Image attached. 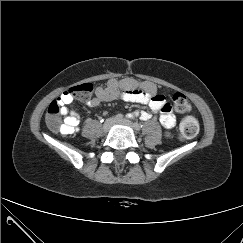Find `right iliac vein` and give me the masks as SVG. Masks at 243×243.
I'll return each mask as SVG.
<instances>
[{"label": "right iliac vein", "mask_w": 243, "mask_h": 243, "mask_svg": "<svg viewBox=\"0 0 243 243\" xmlns=\"http://www.w3.org/2000/svg\"><path fill=\"white\" fill-rule=\"evenodd\" d=\"M116 119L115 118H109L105 121L103 125V131L108 132L109 129L115 124Z\"/></svg>", "instance_id": "63e3f726"}]
</instances>
